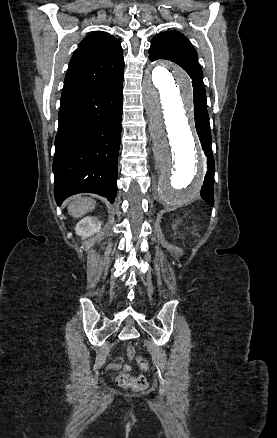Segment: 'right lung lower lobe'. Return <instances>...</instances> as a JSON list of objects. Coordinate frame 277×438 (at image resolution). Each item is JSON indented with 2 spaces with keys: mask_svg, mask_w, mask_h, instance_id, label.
Returning a JSON list of instances; mask_svg holds the SVG:
<instances>
[{
  "mask_svg": "<svg viewBox=\"0 0 277 438\" xmlns=\"http://www.w3.org/2000/svg\"><path fill=\"white\" fill-rule=\"evenodd\" d=\"M123 72L61 98L53 172L57 204L90 192L114 202L117 192Z\"/></svg>",
  "mask_w": 277,
  "mask_h": 438,
  "instance_id": "98d812e1",
  "label": "right lung lower lobe"
}]
</instances>
